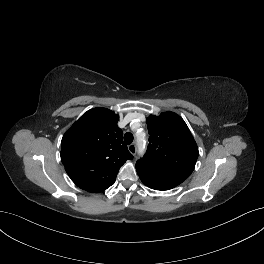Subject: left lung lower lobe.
<instances>
[{
	"label": "left lung lower lobe",
	"mask_w": 264,
	"mask_h": 264,
	"mask_svg": "<svg viewBox=\"0 0 264 264\" xmlns=\"http://www.w3.org/2000/svg\"><path fill=\"white\" fill-rule=\"evenodd\" d=\"M138 175L143 184L155 190H169L182 183L154 165L146 166Z\"/></svg>",
	"instance_id": "0a47b994"
}]
</instances>
